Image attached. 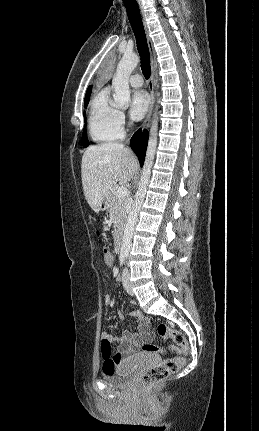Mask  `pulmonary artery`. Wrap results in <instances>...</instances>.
Masks as SVG:
<instances>
[{
  "mask_svg": "<svg viewBox=\"0 0 259 431\" xmlns=\"http://www.w3.org/2000/svg\"><path fill=\"white\" fill-rule=\"evenodd\" d=\"M129 83L132 87L138 88V87H141L143 85V79H142L141 75L134 74L130 77Z\"/></svg>",
  "mask_w": 259,
  "mask_h": 431,
  "instance_id": "obj_1",
  "label": "pulmonary artery"
}]
</instances>
